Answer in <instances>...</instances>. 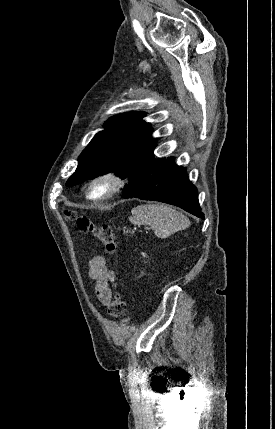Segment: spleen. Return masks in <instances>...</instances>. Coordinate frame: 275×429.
Segmentation results:
<instances>
[{"mask_svg": "<svg viewBox=\"0 0 275 429\" xmlns=\"http://www.w3.org/2000/svg\"><path fill=\"white\" fill-rule=\"evenodd\" d=\"M131 213L129 220L132 224L151 226L158 238H167L190 224L182 213L163 204L139 205Z\"/></svg>", "mask_w": 275, "mask_h": 429, "instance_id": "obj_1", "label": "spleen"}]
</instances>
